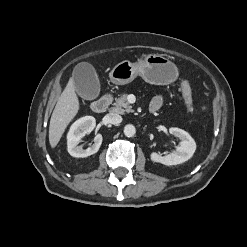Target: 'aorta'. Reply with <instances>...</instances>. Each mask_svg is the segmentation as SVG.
I'll use <instances>...</instances> for the list:
<instances>
[{
    "label": "aorta",
    "mask_w": 247,
    "mask_h": 247,
    "mask_svg": "<svg viewBox=\"0 0 247 247\" xmlns=\"http://www.w3.org/2000/svg\"><path fill=\"white\" fill-rule=\"evenodd\" d=\"M123 132L125 136L133 137L136 134V128L132 124H127L125 125Z\"/></svg>",
    "instance_id": "1"
}]
</instances>
